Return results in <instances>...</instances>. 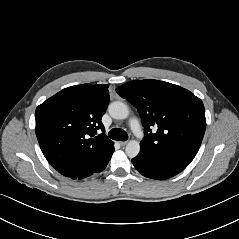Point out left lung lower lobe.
I'll list each match as a JSON object with an SVG mask.
<instances>
[{"label":"left lung lower lobe","instance_id":"left-lung-lower-lobe-1","mask_svg":"<svg viewBox=\"0 0 239 239\" xmlns=\"http://www.w3.org/2000/svg\"><path fill=\"white\" fill-rule=\"evenodd\" d=\"M132 163L143 176L158 180L168 179L184 170L183 167L142 152L132 159Z\"/></svg>","mask_w":239,"mask_h":239}]
</instances>
